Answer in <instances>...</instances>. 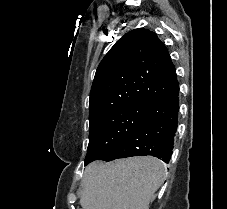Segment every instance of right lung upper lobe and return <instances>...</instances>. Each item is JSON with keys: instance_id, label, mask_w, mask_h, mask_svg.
Here are the masks:
<instances>
[{"instance_id": "right-lung-upper-lobe-1", "label": "right lung upper lobe", "mask_w": 227, "mask_h": 209, "mask_svg": "<svg viewBox=\"0 0 227 209\" xmlns=\"http://www.w3.org/2000/svg\"><path fill=\"white\" fill-rule=\"evenodd\" d=\"M173 65L166 46L154 32L138 28L118 40L99 64L91 88L89 118L99 114L102 101L126 98L149 104L170 92L166 75Z\"/></svg>"}]
</instances>
